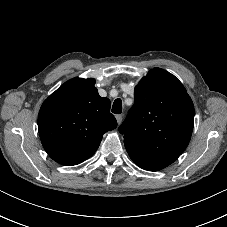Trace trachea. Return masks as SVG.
Wrapping results in <instances>:
<instances>
[{
  "label": "trachea",
  "instance_id": "1",
  "mask_svg": "<svg viewBox=\"0 0 227 227\" xmlns=\"http://www.w3.org/2000/svg\"><path fill=\"white\" fill-rule=\"evenodd\" d=\"M112 112L114 114H121L122 112V100L121 99H116L113 103V106H112Z\"/></svg>",
  "mask_w": 227,
  "mask_h": 227
}]
</instances>
